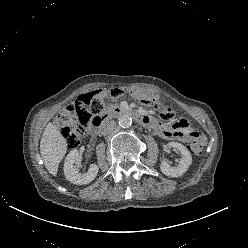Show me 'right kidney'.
<instances>
[{
  "mask_svg": "<svg viewBox=\"0 0 248 248\" xmlns=\"http://www.w3.org/2000/svg\"><path fill=\"white\" fill-rule=\"evenodd\" d=\"M80 153L77 149H73L67 155L64 163V175L68 181L73 184H89L95 179L98 173V166L91 164L87 173L81 174L78 169L74 167V163L78 160Z\"/></svg>",
  "mask_w": 248,
  "mask_h": 248,
  "instance_id": "right-kidney-1",
  "label": "right kidney"
}]
</instances>
